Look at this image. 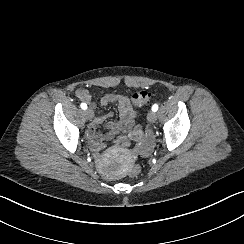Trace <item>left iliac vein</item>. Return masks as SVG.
I'll return each instance as SVG.
<instances>
[{
	"instance_id": "1",
	"label": "left iliac vein",
	"mask_w": 244,
	"mask_h": 244,
	"mask_svg": "<svg viewBox=\"0 0 244 244\" xmlns=\"http://www.w3.org/2000/svg\"><path fill=\"white\" fill-rule=\"evenodd\" d=\"M147 119L150 123H154L157 120V114L154 111H150L147 115Z\"/></svg>"
}]
</instances>
